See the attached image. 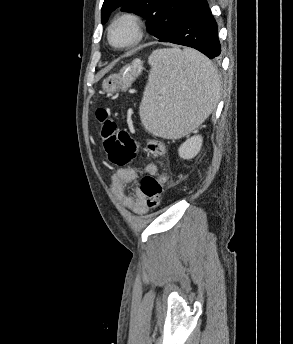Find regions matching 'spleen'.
I'll return each mask as SVG.
<instances>
[{"label": "spleen", "mask_w": 293, "mask_h": 344, "mask_svg": "<svg viewBox=\"0 0 293 344\" xmlns=\"http://www.w3.org/2000/svg\"><path fill=\"white\" fill-rule=\"evenodd\" d=\"M148 63L151 70L139 107L143 126L167 139L189 134L218 103L221 82L217 70L193 49H158Z\"/></svg>", "instance_id": "obj_1"}]
</instances>
